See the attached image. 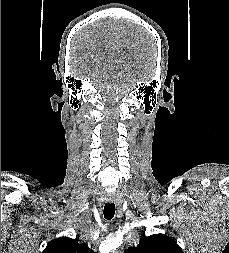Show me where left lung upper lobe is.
Segmentation results:
<instances>
[{
    "mask_svg": "<svg viewBox=\"0 0 229 253\" xmlns=\"http://www.w3.org/2000/svg\"><path fill=\"white\" fill-rule=\"evenodd\" d=\"M124 253H183L177 242L163 234L146 237L142 235L137 247H130Z\"/></svg>",
    "mask_w": 229,
    "mask_h": 253,
    "instance_id": "1",
    "label": "left lung upper lobe"
}]
</instances>
